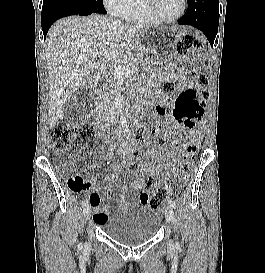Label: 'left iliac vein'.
<instances>
[{"instance_id": "obj_1", "label": "left iliac vein", "mask_w": 265, "mask_h": 273, "mask_svg": "<svg viewBox=\"0 0 265 273\" xmlns=\"http://www.w3.org/2000/svg\"><path fill=\"white\" fill-rule=\"evenodd\" d=\"M165 217H166V220L170 223H172L174 221L175 215H174V211L171 207L166 208Z\"/></svg>"}]
</instances>
